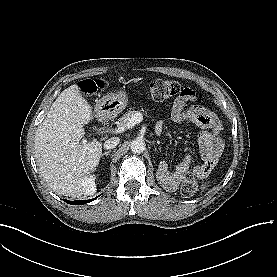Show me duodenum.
I'll list each match as a JSON object with an SVG mask.
<instances>
[{"mask_svg": "<svg viewBox=\"0 0 277 277\" xmlns=\"http://www.w3.org/2000/svg\"><path fill=\"white\" fill-rule=\"evenodd\" d=\"M104 113H105V110H104V108L101 107V108L98 110V113H97L98 118H99L100 121H103V120H104V118H103ZM158 134H159V132H158Z\"/></svg>", "mask_w": 277, "mask_h": 277, "instance_id": "duodenum-1", "label": "duodenum"}]
</instances>
